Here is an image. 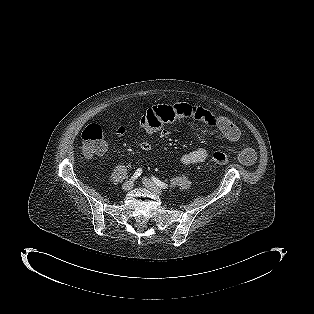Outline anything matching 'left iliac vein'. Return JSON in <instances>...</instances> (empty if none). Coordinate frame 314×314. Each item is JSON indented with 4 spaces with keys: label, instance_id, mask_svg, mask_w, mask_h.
Segmentation results:
<instances>
[{
    "label": "left iliac vein",
    "instance_id": "1",
    "mask_svg": "<svg viewBox=\"0 0 314 314\" xmlns=\"http://www.w3.org/2000/svg\"><path fill=\"white\" fill-rule=\"evenodd\" d=\"M143 184L151 190L154 194L161 196L163 194L162 190L156 186L150 179L143 178Z\"/></svg>",
    "mask_w": 314,
    "mask_h": 314
}]
</instances>
